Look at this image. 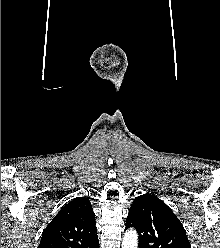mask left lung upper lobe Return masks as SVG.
Here are the masks:
<instances>
[{"instance_id": "5c2ea615", "label": "left lung upper lobe", "mask_w": 220, "mask_h": 248, "mask_svg": "<svg viewBox=\"0 0 220 248\" xmlns=\"http://www.w3.org/2000/svg\"><path fill=\"white\" fill-rule=\"evenodd\" d=\"M139 234V248H191L186 231L172 210L149 193L135 198L126 220V229Z\"/></svg>"}]
</instances>
